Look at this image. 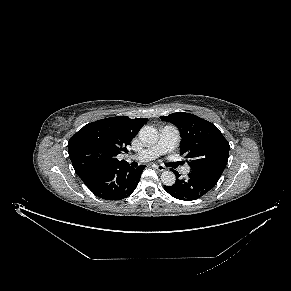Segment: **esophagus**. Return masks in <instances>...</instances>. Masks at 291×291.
Segmentation results:
<instances>
[{
  "instance_id": "esophagus-1",
  "label": "esophagus",
  "mask_w": 291,
  "mask_h": 291,
  "mask_svg": "<svg viewBox=\"0 0 291 291\" xmlns=\"http://www.w3.org/2000/svg\"><path fill=\"white\" fill-rule=\"evenodd\" d=\"M156 169H157L158 171H160V172H163V171H165L167 168H166L164 165H157V166H156Z\"/></svg>"
}]
</instances>
